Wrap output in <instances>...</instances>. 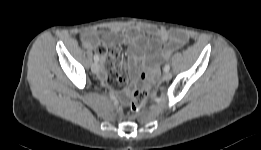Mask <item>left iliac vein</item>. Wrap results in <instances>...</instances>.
I'll return each mask as SVG.
<instances>
[{
    "mask_svg": "<svg viewBox=\"0 0 261 150\" xmlns=\"http://www.w3.org/2000/svg\"><path fill=\"white\" fill-rule=\"evenodd\" d=\"M172 78V73H170V72H165L164 73V75H163V80H165V81H168V80H170Z\"/></svg>",
    "mask_w": 261,
    "mask_h": 150,
    "instance_id": "4c4485c4",
    "label": "left iliac vein"
}]
</instances>
